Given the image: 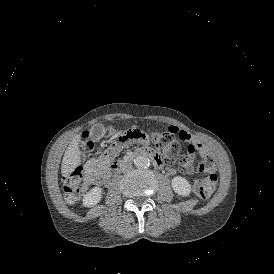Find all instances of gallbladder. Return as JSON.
Wrapping results in <instances>:
<instances>
[{"mask_svg": "<svg viewBox=\"0 0 274 274\" xmlns=\"http://www.w3.org/2000/svg\"><path fill=\"white\" fill-rule=\"evenodd\" d=\"M105 134V128L102 124H94L90 129L89 138L93 141H98Z\"/></svg>", "mask_w": 274, "mask_h": 274, "instance_id": "obj_1", "label": "gallbladder"}]
</instances>
